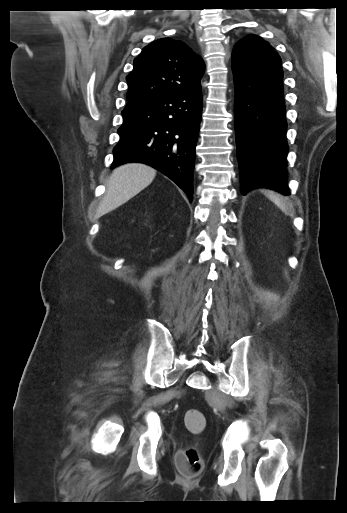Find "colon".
Segmentation results:
<instances>
[{"instance_id":"obj_1","label":"colon","mask_w":347,"mask_h":513,"mask_svg":"<svg viewBox=\"0 0 347 513\" xmlns=\"http://www.w3.org/2000/svg\"><path fill=\"white\" fill-rule=\"evenodd\" d=\"M184 422L187 429L200 434L206 426V419L202 412L196 409H190L185 413ZM176 464L180 474L185 478L196 477L202 469V458L197 446H191L179 453Z\"/></svg>"}]
</instances>
